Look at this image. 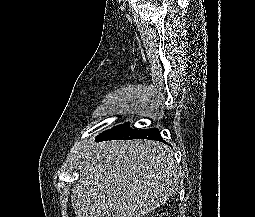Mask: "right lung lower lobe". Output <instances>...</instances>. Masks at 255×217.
Instances as JSON below:
<instances>
[{"label": "right lung lower lobe", "mask_w": 255, "mask_h": 217, "mask_svg": "<svg viewBox=\"0 0 255 217\" xmlns=\"http://www.w3.org/2000/svg\"><path fill=\"white\" fill-rule=\"evenodd\" d=\"M131 140V139H149L161 141L159 130L152 129H131L129 123L113 127L97 137V141L107 140Z\"/></svg>", "instance_id": "1"}]
</instances>
